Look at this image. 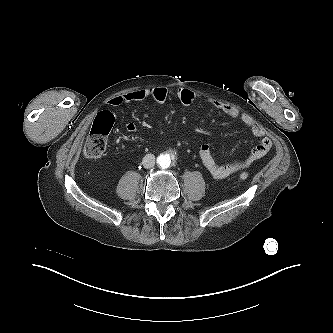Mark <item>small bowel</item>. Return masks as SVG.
Wrapping results in <instances>:
<instances>
[{"instance_id":"1","label":"small bowel","mask_w":333,"mask_h":333,"mask_svg":"<svg viewBox=\"0 0 333 333\" xmlns=\"http://www.w3.org/2000/svg\"><path fill=\"white\" fill-rule=\"evenodd\" d=\"M168 97L169 91L167 88L155 87L150 89H140L116 96L110 99L108 104L112 107H118L129 102L143 101L147 99L153 100L156 103H164ZM177 97L183 105L191 106L199 99L200 95L191 89L180 88L177 91ZM208 101L226 115L232 118H239L250 132L260 139L259 144L253 148L247 157L223 164L216 161L212 149L208 144L202 145L199 150V157L203 166L212 177L216 179H224L230 175L245 170L256 161L263 158L271 150L272 141L266 136L263 127L249 114L240 112L235 107L214 99H208ZM125 128L128 132H136L138 130V126L133 122L127 123Z\"/></svg>"}]
</instances>
